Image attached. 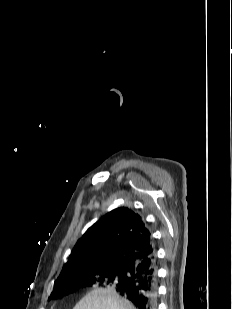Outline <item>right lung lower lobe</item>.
<instances>
[{
	"label": "right lung lower lobe",
	"instance_id": "1",
	"mask_svg": "<svg viewBox=\"0 0 232 309\" xmlns=\"http://www.w3.org/2000/svg\"><path fill=\"white\" fill-rule=\"evenodd\" d=\"M128 281L116 291L138 309H157V273L155 255L137 262L128 271Z\"/></svg>",
	"mask_w": 232,
	"mask_h": 309
}]
</instances>
